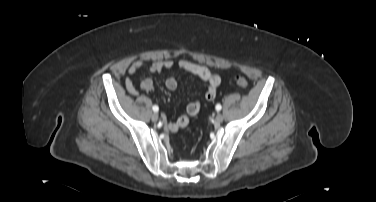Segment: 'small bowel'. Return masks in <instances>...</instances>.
Here are the masks:
<instances>
[{"instance_id": "small-bowel-1", "label": "small bowel", "mask_w": 376, "mask_h": 202, "mask_svg": "<svg viewBox=\"0 0 376 202\" xmlns=\"http://www.w3.org/2000/svg\"><path fill=\"white\" fill-rule=\"evenodd\" d=\"M144 66V62L142 61H136L132 63L129 68H128V77L125 79V88L127 92L131 95H138L139 91L138 89L134 86L131 76L134 75L139 69H141ZM177 66L184 72L193 74L197 77H199L201 80H203L206 83V91L204 94V97L207 101H213L216 97L217 94V88L221 83V78L220 76L209 69L206 66L199 65L196 63H193L189 60L182 59L179 60L178 62H173L171 60H158V61H153L149 65V70L152 73H158L163 70H169L172 69L173 67ZM178 86L177 79L174 76H171L167 78L165 81V87L170 90L174 91L176 90ZM140 89L143 92H151L153 90V82L151 79H145L141 82ZM196 107L197 112L193 113L192 108ZM200 109V102L198 100H195L191 102L186 109V114L181 115L177 119L171 121L168 125L169 129L171 131H177L179 129H182L186 127L190 121V118L193 117L198 113Z\"/></svg>"}]
</instances>
